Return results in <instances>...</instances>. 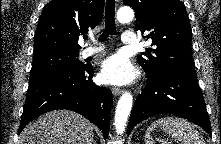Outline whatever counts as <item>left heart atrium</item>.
I'll list each match as a JSON object with an SVG mask.
<instances>
[{
    "label": "left heart atrium",
    "instance_id": "1",
    "mask_svg": "<svg viewBox=\"0 0 221 144\" xmlns=\"http://www.w3.org/2000/svg\"><path fill=\"white\" fill-rule=\"evenodd\" d=\"M100 76L104 83L124 85L135 79L136 72L130 60L117 53L103 61Z\"/></svg>",
    "mask_w": 221,
    "mask_h": 144
}]
</instances>
